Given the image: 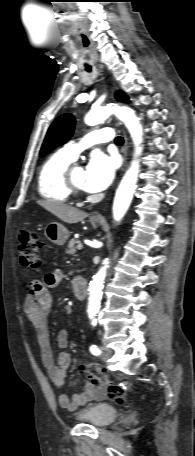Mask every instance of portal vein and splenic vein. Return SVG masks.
<instances>
[{"label": "portal vein and splenic vein", "instance_id": "obj_1", "mask_svg": "<svg viewBox=\"0 0 195 456\" xmlns=\"http://www.w3.org/2000/svg\"><path fill=\"white\" fill-rule=\"evenodd\" d=\"M82 248H83V245H82L81 243H79V244L77 245V249L81 250Z\"/></svg>", "mask_w": 195, "mask_h": 456}]
</instances>
